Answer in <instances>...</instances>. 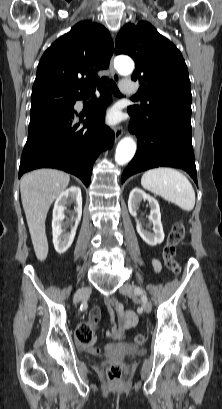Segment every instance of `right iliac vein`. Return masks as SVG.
I'll use <instances>...</instances> for the list:
<instances>
[{
  "label": "right iliac vein",
  "mask_w": 222,
  "mask_h": 409,
  "mask_svg": "<svg viewBox=\"0 0 222 409\" xmlns=\"http://www.w3.org/2000/svg\"><path fill=\"white\" fill-rule=\"evenodd\" d=\"M91 290H92L91 287H85L83 289L78 290L74 296V303H77L82 298L89 296L91 293Z\"/></svg>",
  "instance_id": "right-iliac-vein-1"
}]
</instances>
